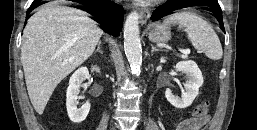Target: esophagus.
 Masks as SVG:
<instances>
[{
    "instance_id": "1",
    "label": "esophagus",
    "mask_w": 257,
    "mask_h": 130,
    "mask_svg": "<svg viewBox=\"0 0 257 130\" xmlns=\"http://www.w3.org/2000/svg\"><path fill=\"white\" fill-rule=\"evenodd\" d=\"M150 17L149 9H142L139 13V21L140 23H145L147 19Z\"/></svg>"
}]
</instances>
